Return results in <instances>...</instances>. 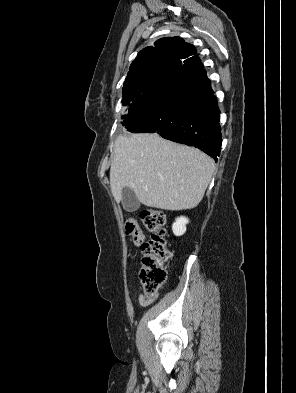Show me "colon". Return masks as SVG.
I'll return each mask as SVG.
<instances>
[{"label":"colon","mask_w":296,"mask_h":393,"mask_svg":"<svg viewBox=\"0 0 296 393\" xmlns=\"http://www.w3.org/2000/svg\"><path fill=\"white\" fill-rule=\"evenodd\" d=\"M145 228L152 233L146 241L134 217H129L125 223V232L134 244L140 248L143 256L139 269V280L146 296H155L167 279L166 263L171 252L166 243V215L158 208H147L141 212Z\"/></svg>","instance_id":"obj_1"}]
</instances>
